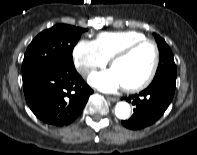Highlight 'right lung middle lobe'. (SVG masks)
<instances>
[{"label": "right lung middle lobe", "mask_w": 197, "mask_h": 155, "mask_svg": "<svg viewBox=\"0 0 197 155\" xmlns=\"http://www.w3.org/2000/svg\"><path fill=\"white\" fill-rule=\"evenodd\" d=\"M84 31L79 27L59 24L37 35L24 56L23 83L46 70L74 67L72 51Z\"/></svg>", "instance_id": "dd1d6c3e"}]
</instances>
